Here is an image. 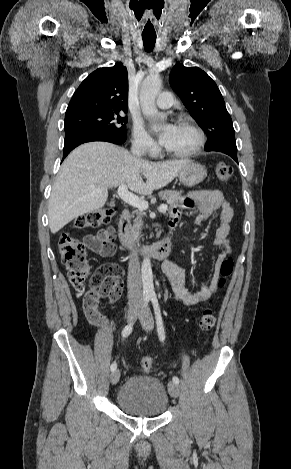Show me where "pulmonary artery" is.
Wrapping results in <instances>:
<instances>
[{"instance_id": "pulmonary-artery-1", "label": "pulmonary artery", "mask_w": 291, "mask_h": 469, "mask_svg": "<svg viewBox=\"0 0 291 469\" xmlns=\"http://www.w3.org/2000/svg\"><path fill=\"white\" fill-rule=\"evenodd\" d=\"M156 105L161 109H168L173 105V96L170 92H162L159 94Z\"/></svg>"}]
</instances>
